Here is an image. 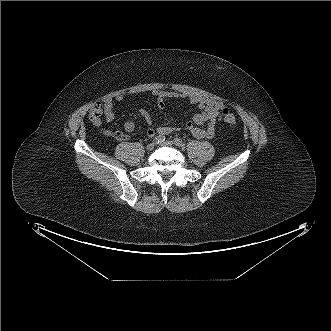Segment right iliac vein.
<instances>
[{"label": "right iliac vein", "instance_id": "right-iliac-vein-1", "mask_svg": "<svg viewBox=\"0 0 331 331\" xmlns=\"http://www.w3.org/2000/svg\"><path fill=\"white\" fill-rule=\"evenodd\" d=\"M154 147H155V144H154V143H150V144H148V145L146 146V149H147L148 151H151V150L154 149Z\"/></svg>", "mask_w": 331, "mask_h": 331}]
</instances>
